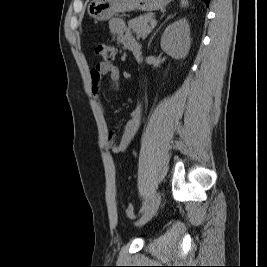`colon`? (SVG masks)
<instances>
[{"mask_svg": "<svg viewBox=\"0 0 267 267\" xmlns=\"http://www.w3.org/2000/svg\"><path fill=\"white\" fill-rule=\"evenodd\" d=\"M95 53L105 62L110 63L114 60L116 55V48L112 44L97 43L95 44ZM125 214L128 218H135V209L132 204L124 206Z\"/></svg>", "mask_w": 267, "mask_h": 267, "instance_id": "5ec220e1", "label": "colon"}]
</instances>
